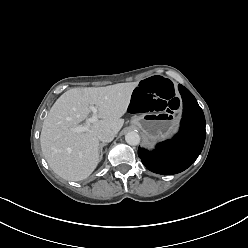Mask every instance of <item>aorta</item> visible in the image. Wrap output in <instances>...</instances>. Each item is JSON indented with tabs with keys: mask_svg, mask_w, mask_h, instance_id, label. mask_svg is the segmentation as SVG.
Wrapping results in <instances>:
<instances>
[{
	"mask_svg": "<svg viewBox=\"0 0 248 248\" xmlns=\"http://www.w3.org/2000/svg\"><path fill=\"white\" fill-rule=\"evenodd\" d=\"M125 140L129 145L135 146L140 143V136L135 131H130L125 135Z\"/></svg>",
	"mask_w": 248,
	"mask_h": 248,
	"instance_id": "obj_1",
	"label": "aorta"
}]
</instances>
